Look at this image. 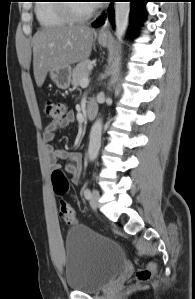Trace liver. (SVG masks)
I'll return each instance as SVG.
<instances>
[{
	"instance_id": "6515ba94",
	"label": "liver",
	"mask_w": 195,
	"mask_h": 299,
	"mask_svg": "<svg viewBox=\"0 0 195 299\" xmlns=\"http://www.w3.org/2000/svg\"><path fill=\"white\" fill-rule=\"evenodd\" d=\"M94 29L84 25H61L37 31L33 37V69L38 87L52 69L86 60L93 43Z\"/></svg>"
}]
</instances>
